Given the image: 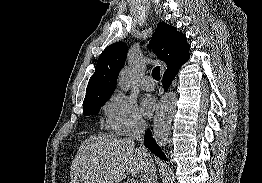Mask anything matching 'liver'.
<instances>
[{
	"instance_id": "liver-1",
	"label": "liver",
	"mask_w": 262,
	"mask_h": 183,
	"mask_svg": "<svg viewBox=\"0 0 262 183\" xmlns=\"http://www.w3.org/2000/svg\"><path fill=\"white\" fill-rule=\"evenodd\" d=\"M71 183H118L142 169L134 141L114 134H94L85 139L71 164Z\"/></svg>"
}]
</instances>
